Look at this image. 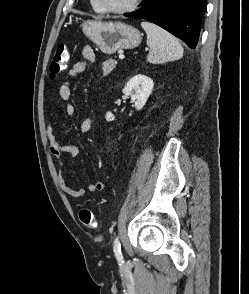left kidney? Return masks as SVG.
<instances>
[{"label": "left kidney", "mask_w": 249, "mask_h": 294, "mask_svg": "<svg viewBox=\"0 0 249 294\" xmlns=\"http://www.w3.org/2000/svg\"><path fill=\"white\" fill-rule=\"evenodd\" d=\"M153 80L143 74L132 77L123 89V93L131 97L136 109L141 110L146 104L153 90ZM114 115L109 111L106 113V120L113 121Z\"/></svg>", "instance_id": "obj_1"}]
</instances>
